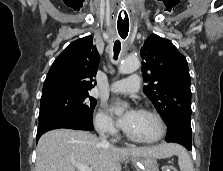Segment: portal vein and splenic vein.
<instances>
[{"instance_id": "obj_1", "label": "portal vein and splenic vein", "mask_w": 223, "mask_h": 171, "mask_svg": "<svg viewBox=\"0 0 223 171\" xmlns=\"http://www.w3.org/2000/svg\"><path fill=\"white\" fill-rule=\"evenodd\" d=\"M75 167H76L77 171H93L91 168H89L88 166H85L83 164H75Z\"/></svg>"}]
</instances>
